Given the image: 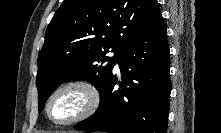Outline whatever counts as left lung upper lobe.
I'll use <instances>...</instances> for the list:
<instances>
[{"instance_id": "obj_1", "label": "left lung upper lobe", "mask_w": 221, "mask_h": 133, "mask_svg": "<svg viewBox=\"0 0 221 133\" xmlns=\"http://www.w3.org/2000/svg\"><path fill=\"white\" fill-rule=\"evenodd\" d=\"M160 17L156 0H64L38 56L39 111L63 82L87 80L101 91L121 49Z\"/></svg>"}]
</instances>
